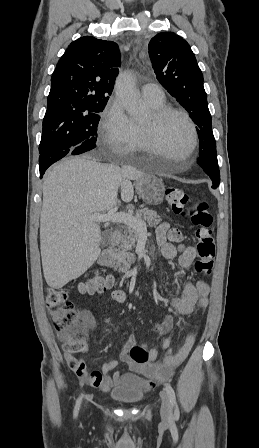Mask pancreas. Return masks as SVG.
<instances>
[{"label":"pancreas","mask_w":259,"mask_h":448,"mask_svg":"<svg viewBox=\"0 0 259 448\" xmlns=\"http://www.w3.org/2000/svg\"><path fill=\"white\" fill-rule=\"evenodd\" d=\"M136 218L142 220V222H147L150 228H154V226H158L161 222V216H157V212H153V210H148V208H144V210H136ZM139 238V232L137 230H133V228H126L123 236V240L118 246V250L115 254V260L118 262H122L123 270L127 272L130 266H132L134 262V254H131L129 250H133L137 240Z\"/></svg>","instance_id":"pancreas-1"}]
</instances>
